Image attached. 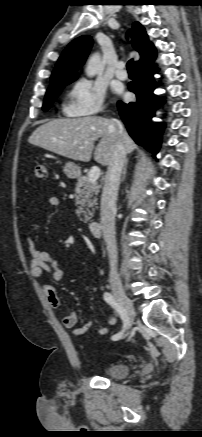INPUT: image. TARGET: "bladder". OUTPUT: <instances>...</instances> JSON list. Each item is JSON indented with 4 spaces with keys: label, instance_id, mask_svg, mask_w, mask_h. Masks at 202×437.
<instances>
[{
    "label": "bladder",
    "instance_id": "obj_1",
    "mask_svg": "<svg viewBox=\"0 0 202 437\" xmlns=\"http://www.w3.org/2000/svg\"><path fill=\"white\" fill-rule=\"evenodd\" d=\"M129 371V366L123 362H112L101 369L103 375L115 379L126 377L129 374Z\"/></svg>",
    "mask_w": 202,
    "mask_h": 437
}]
</instances>
